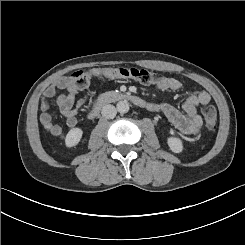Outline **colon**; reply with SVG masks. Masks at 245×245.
Returning <instances> with one entry per match:
<instances>
[{
    "label": "colon",
    "mask_w": 245,
    "mask_h": 245,
    "mask_svg": "<svg viewBox=\"0 0 245 245\" xmlns=\"http://www.w3.org/2000/svg\"><path fill=\"white\" fill-rule=\"evenodd\" d=\"M93 78H127L145 85H156L162 79L156 72L144 68L113 67L91 71H76L72 74L71 81L75 87L83 89ZM202 116L206 128L209 130L215 129L217 124L216 109L213 106H206L202 109Z\"/></svg>",
    "instance_id": "obj_1"
}]
</instances>
